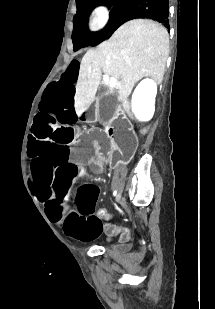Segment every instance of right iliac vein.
<instances>
[{
    "instance_id": "obj_1",
    "label": "right iliac vein",
    "mask_w": 215,
    "mask_h": 309,
    "mask_svg": "<svg viewBox=\"0 0 215 309\" xmlns=\"http://www.w3.org/2000/svg\"><path fill=\"white\" fill-rule=\"evenodd\" d=\"M121 199V193H119L116 197V200H120Z\"/></svg>"
}]
</instances>
